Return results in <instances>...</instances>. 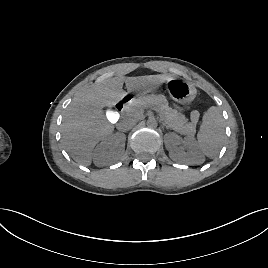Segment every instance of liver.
Segmentation results:
<instances>
[{"label": "liver", "mask_w": 268, "mask_h": 268, "mask_svg": "<svg viewBox=\"0 0 268 268\" xmlns=\"http://www.w3.org/2000/svg\"><path fill=\"white\" fill-rule=\"evenodd\" d=\"M172 77L164 74L124 77L118 75L83 88L67 107L62 123V138L67 152L78 163L91 164L92 151L99 141L111 135L114 126L103 108L113 107L128 93L141 95L155 91Z\"/></svg>", "instance_id": "1"}]
</instances>
